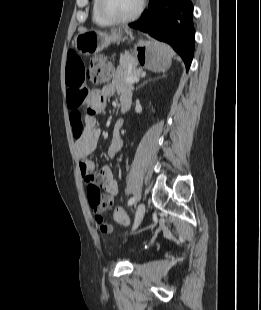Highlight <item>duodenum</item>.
Wrapping results in <instances>:
<instances>
[{"label":"duodenum","instance_id":"410a0bca","mask_svg":"<svg viewBox=\"0 0 261 310\" xmlns=\"http://www.w3.org/2000/svg\"><path fill=\"white\" fill-rule=\"evenodd\" d=\"M120 105L122 111H127L131 106V98L127 96L121 97Z\"/></svg>","mask_w":261,"mask_h":310}]
</instances>
